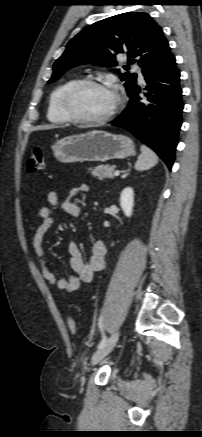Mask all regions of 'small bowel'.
I'll return each instance as SVG.
<instances>
[{"mask_svg":"<svg viewBox=\"0 0 202 437\" xmlns=\"http://www.w3.org/2000/svg\"><path fill=\"white\" fill-rule=\"evenodd\" d=\"M89 190V186L81 183L69 190L64 201L60 202L59 195L56 191H50L47 194L49 206L41 207L39 216L41 223L37 226L33 236V248L37 261L41 267L42 274L48 285H55L58 290L73 292L79 289L81 283H90L95 275L104 268L106 258V246L103 241L96 240L90 245V256L84 257L76 242L71 241L69 244L70 266L73 274L69 277H63L55 274L49 267L48 259L43 248V239L46 232L56 221L55 209L60 208L70 216H78L81 208L77 202V197Z\"/></svg>","mask_w":202,"mask_h":437,"instance_id":"c3829d8e","label":"small bowel"}]
</instances>
